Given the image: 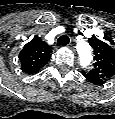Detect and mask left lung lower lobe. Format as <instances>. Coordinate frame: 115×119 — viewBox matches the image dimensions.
<instances>
[{
	"instance_id": "obj_1",
	"label": "left lung lower lobe",
	"mask_w": 115,
	"mask_h": 119,
	"mask_svg": "<svg viewBox=\"0 0 115 119\" xmlns=\"http://www.w3.org/2000/svg\"><path fill=\"white\" fill-rule=\"evenodd\" d=\"M83 75L92 84L101 85L104 82V80L102 78L98 77V76L91 75V74H88V73H83Z\"/></svg>"
}]
</instances>
